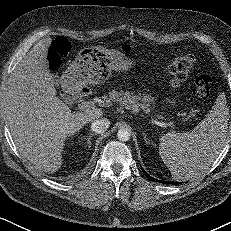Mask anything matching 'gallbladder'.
Masks as SVG:
<instances>
[{
	"mask_svg": "<svg viewBox=\"0 0 231 231\" xmlns=\"http://www.w3.org/2000/svg\"><path fill=\"white\" fill-rule=\"evenodd\" d=\"M55 78H56V79H55L56 83H58V79H57V76H55Z\"/></svg>",
	"mask_w": 231,
	"mask_h": 231,
	"instance_id": "1",
	"label": "gallbladder"
}]
</instances>
